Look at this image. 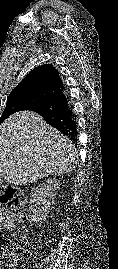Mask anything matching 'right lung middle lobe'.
Wrapping results in <instances>:
<instances>
[{
    "label": "right lung middle lobe",
    "mask_w": 118,
    "mask_h": 269,
    "mask_svg": "<svg viewBox=\"0 0 118 269\" xmlns=\"http://www.w3.org/2000/svg\"><path fill=\"white\" fill-rule=\"evenodd\" d=\"M25 108V104L24 102L21 100V96L20 95H9L8 99H7V104L6 107L3 111V114L0 118V123L7 118L8 116H10L11 114L18 112V111H22Z\"/></svg>",
    "instance_id": "dd1d6c3e"
}]
</instances>
